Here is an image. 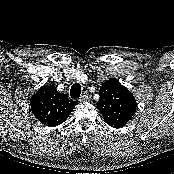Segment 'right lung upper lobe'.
<instances>
[{
    "instance_id": "right-lung-upper-lobe-1",
    "label": "right lung upper lobe",
    "mask_w": 174,
    "mask_h": 174,
    "mask_svg": "<svg viewBox=\"0 0 174 174\" xmlns=\"http://www.w3.org/2000/svg\"><path fill=\"white\" fill-rule=\"evenodd\" d=\"M76 104L54 85H44L31 97L30 110L42 124L55 127L68 118Z\"/></svg>"
}]
</instances>
